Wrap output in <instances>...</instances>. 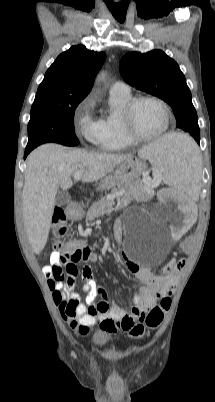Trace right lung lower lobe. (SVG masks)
Wrapping results in <instances>:
<instances>
[{"mask_svg": "<svg viewBox=\"0 0 215 402\" xmlns=\"http://www.w3.org/2000/svg\"><path fill=\"white\" fill-rule=\"evenodd\" d=\"M31 151V149H25V155H24V158L29 154V152Z\"/></svg>", "mask_w": 215, "mask_h": 402, "instance_id": "1", "label": "right lung lower lobe"}]
</instances>
